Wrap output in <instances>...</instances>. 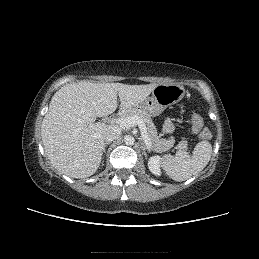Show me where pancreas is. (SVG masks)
<instances>
[{"instance_id":"pancreas-1","label":"pancreas","mask_w":259,"mask_h":259,"mask_svg":"<svg viewBox=\"0 0 259 259\" xmlns=\"http://www.w3.org/2000/svg\"><path fill=\"white\" fill-rule=\"evenodd\" d=\"M138 116L142 119L146 125L147 134L150 140V148L156 152H164L171 149L174 146L175 139L174 137H169L168 139L159 138L157 135V130L155 125L152 122L151 116L140 109L132 108L126 109L122 113V117H131ZM177 149L186 150L188 148V143L185 140H182L178 143Z\"/></svg>"}]
</instances>
